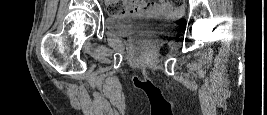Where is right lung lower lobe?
<instances>
[{
	"label": "right lung lower lobe",
	"instance_id": "right-lung-lower-lobe-1",
	"mask_svg": "<svg viewBox=\"0 0 267 115\" xmlns=\"http://www.w3.org/2000/svg\"><path fill=\"white\" fill-rule=\"evenodd\" d=\"M142 89H144V90H148L149 88H147V87H141Z\"/></svg>",
	"mask_w": 267,
	"mask_h": 115
}]
</instances>
